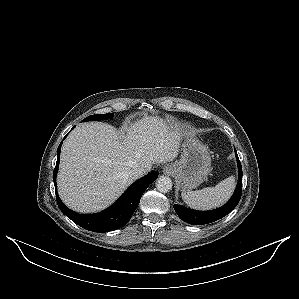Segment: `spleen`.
Listing matches in <instances>:
<instances>
[{
    "mask_svg": "<svg viewBox=\"0 0 299 299\" xmlns=\"http://www.w3.org/2000/svg\"><path fill=\"white\" fill-rule=\"evenodd\" d=\"M235 188V178L230 176L214 187H206L197 191H182L183 201L191 208L209 210L224 204Z\"/></svg>",
    "mask_w": 299,
    "mask_h": 299,
    "instance_id": "1",
    "label": "spleen"
}]
</instances>
